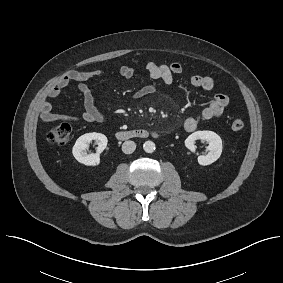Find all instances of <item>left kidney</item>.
I'll return each instance as SVG.
<instances>
[{
    "label": "left kidney",
    "mask_w": 283,
    "mask_h": 283,
    "mask_svg": "<svg viewBox=\"0 0 283 283\" xmlns=\"http://www.w3.org/2000/svg\"><path fill=\"white\" fill-rule=\"evenodd\" d=\"M204 140L209 143L208 154L198 156V163L202 166L210 165L219 159L222 153V139L213 131H196L189 135L185 140V146L192 152H195V141Z\"/></svg>",
    "instance_id": "obj_1"
}]
</instances>
